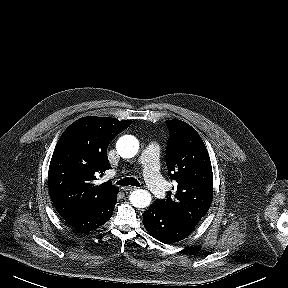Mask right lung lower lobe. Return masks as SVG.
I'll return each instance as SVG.
<instances>
[{
	"mask_svg": "<svg viewBox=\"0 0 288 288\" xmlns=\"http://www.w3.org/2000/svg\"><path fill=\"white\" fill-rule=\"evenodd\" d=\"M117 201V194L106 200L96 208L81 214L63 217L73 228L81 233L93 231L110 219Z\"/></svg>",
	"mask_w": 288,
	"mask_h": 288,
	"instance_id": "obj_1",
	"label": "right lung lower lobe"
}]
</instances>
